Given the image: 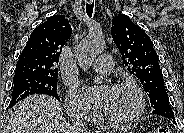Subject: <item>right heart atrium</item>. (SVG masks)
Returning a JSON list of instances; mask_svg holds the SVG:
<instances>
[{"label": "right heart atrium", "instance_id": "obj_1", "mask_svg": "<svg viewBox=\"0 0 184 133\" xmlns=\"http://www.w3.org/2000/svg\"><path fill=\"white\" fill-rule=\"evenodd\" d=\"M65 105L68 113L71 115L88 117L92 114L91 109L86 100L73 86H71L68 91Z\"/></svg>", "mask_w": 184, "mask_h": 133}]
</instances>
